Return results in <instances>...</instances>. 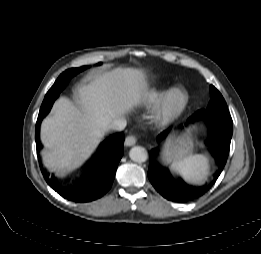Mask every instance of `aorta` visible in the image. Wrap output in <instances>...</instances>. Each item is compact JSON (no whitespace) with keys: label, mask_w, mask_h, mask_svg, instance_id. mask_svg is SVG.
Instances as JSON below:
<instances>
[{"label":"aorta","mask_w":261,"mask_h":254,"mask_svg":"<svg viewBox=\"0 0 261 254\" xmlns=\"http://www.w3.org/2000/svg\"><path fill=\"white\" fill-rule=\"evenodd\" d=\"M129 157L134 162L143 163L148 159V153L145 148L135 146L130 150Z\"/></svg>","instance_id":"obj_1"}]
</instances>
